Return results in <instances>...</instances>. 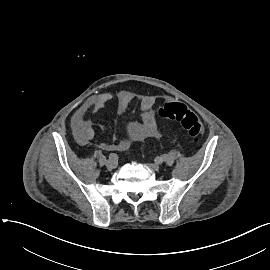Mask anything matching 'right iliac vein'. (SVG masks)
I'll list each match as a JSON object with an SVG mask.
<instances>
[{"instance_id": "right-iliac-vein-1", "label": "right iliac vein", "mask_w": 270, "mask_h": 270, "mask_svg": "<svg viewBox=\"0 0 270 270\" xmlns=\"http://www.w3.org/2000/svg\"><path fill=\"white\" fill-rule=\"evenodd\" d=\"M106 167L109 171L113 170L116 167V163L111 160L106 161Z\"/></svg>"}]
</instances>
